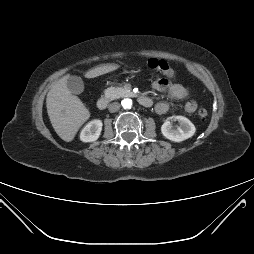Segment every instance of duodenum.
I'll return each mask as SVG.
<instances>
[{"mask_svg": "<svg viewBox=\"0 0 254 254\" xmlns=\"http://www.w3.org/2000/svg\"><path fill=\"white\" fill-rule=\"evenodd\" d=\"M138 102L144 107L152 106V100L147 96H139ZM108 103H109V101L106 97H101L97 101V108L99 110H104L108 106Z\"/></svg>", "mask_w": 254, "mask_h": 254, "instance_id": "1", "label": "duodenum"}]
</instances>
